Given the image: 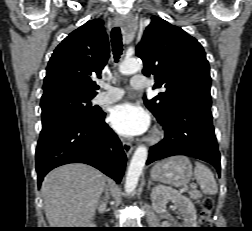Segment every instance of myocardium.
Instances as JSON below:
<instances>
[{
    "label": "myocardium",
    "instance_id": "1",
    "mask_svg": "<svg viewBox=\"0 0 252 231\" xmlns=\"http://www.w3.org/2000/svg\"><path fill=\"white\" fill-rule=\"evenodd\" d=\"M162 138V132L158 129H155L148 138L150 143H156Z\"/></svg>",
    "mask_w": 252,
    "mask_h": 231
}]
</instances>
